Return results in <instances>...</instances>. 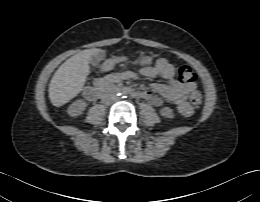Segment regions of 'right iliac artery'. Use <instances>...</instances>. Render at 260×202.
Wrapping results in <instances>:
<instances>
[{
    "mask_svg": "<svg viewBox=\"0 0 260 202\" xmlns=\"http://www.w3.org/2000/svg\"><path fill=\"white\" fill-rule=\"evenodd\" d=\"M121 95L120 91L117 92V96Z\"/></svg>",
    "mask_w": 260,
    "mask_h": 202,
    "instance_id": "1",
    "label": "right iliac artery"
}]
</instances>
